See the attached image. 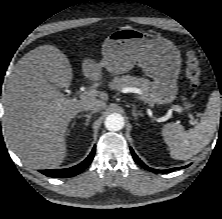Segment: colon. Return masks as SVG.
<instances>
[{
	"label": "colon",
	"instance_id": "colon-1",
	"mask_svg": "<svg viewBox=\"0 0 222 219\" xmlns=\"http://www.w3.org/2000/svg\"><path fill=\"white\" fill-rule=\"evenodd\" d=\"M186 77L192 88L197 89L201 84V68L196 53L189 49L186 53Z\"/></svg>",
	"mask_w": 222,
	"mask_h": 219
}]
</instances>
